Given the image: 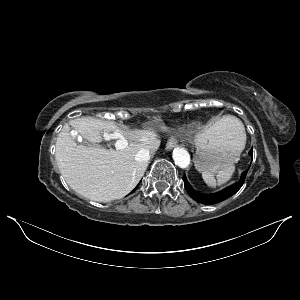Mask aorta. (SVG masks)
<instances>
[{
  "label": "aorta",
  "mask_w": 300,
  "mask_h": 300,
  "mask_svg": "<svg viewBox=\"0 0 300 300\" xmlns=\"http://www.w3.org/2000/svg\"><path fill=\"white\" fill-rule=\"evenodd\" d=\"M172 157L175 164L180 168H186L190 164V155L184 148H175Z\"/></svg>",
  "instance_id": "aorta-1"
}]
</instances>
